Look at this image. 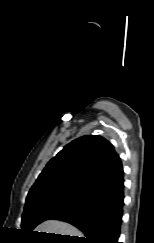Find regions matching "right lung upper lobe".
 <instances>
[{
	"instance_id": "right-lung-upper-lobe-1",
	"label": "right lung upper lobe",
	"mask_w": 154,
	"mask_h": 243,
	"mask_svg": "<svg viewBox=\"0 0 154 243\" xmlns=\"http://www.w3.org/2000/svg\"><path fill=\"white\" fill-rule=\"evenodd\" d=\"M122 177L121 160L112 144L101 136H83L66 145L48 162L26 202L49 195L88 200Z\"/></svg>"
}]
</instances>
